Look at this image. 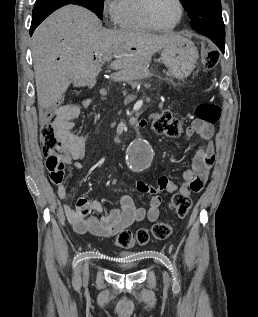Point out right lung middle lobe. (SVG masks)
Listing matches in <instances>:
<instances>
[{
  "label": "right lung middle lobe",
  "instance_id": "right-lung-middle-lobe-1",
  "mask_svg": "<svg viewBox=\"0 0 258 317\" xmlns=\"http://www.w3.org/2000/svg\"><path fill=\"white\" fill-rule=\"evenodd\" d=\"M91 11L94 12L100 19H102L104 0H89Z\"/></svg>",
  "mask_w": 258,
  "mask_h": 317
}]
</instances>
